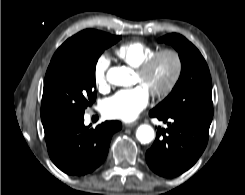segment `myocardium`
<instances>
[{
    "mask_svg": "<svg viewBox=\"0 0 245 195\" xmlns=\"http://www.w3.org/2000/svg\"><path fill=\"white\" fill-rule=\"evenodd\" d=\"M168 55L172 58L174 68L171 78L167 84L160 90L152 91L150 94L155 98H163L169 95L173 89L176 87L177 83L180 80L183 68V62L180 53L171 48H165L159 51H156L153 55L147 58L139 67L136 68V74L141 78L145 77L155 63L162 57Z\"/></svg>",
    "mask_w": 245,
    "mask_h": 195,
    "instance_id": "f54148a6",
    "label": "myocardium"
}]
</instances>
